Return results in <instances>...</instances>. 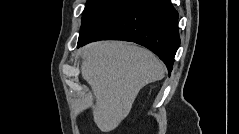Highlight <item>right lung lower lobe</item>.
Returning a JSON list of instances; mask_svg holds the SVG:
<instances>
[{"instance_id":"98d812e1","label":"right lung lower lobe","mask_w":239,"mask_h":134,"mask_svg":"<svg viewBox=\"0 0 239 134\" xmlns=\"http://www.w3.org/2000/svg\"><path fill=\"white\" fill-rule=\"evenodd\" d=\"M177 22L170 0H124L79 38L78 47L104 39L135 42L153 51L170 73L180 45Z\"/></svg>"}]
</instances>
